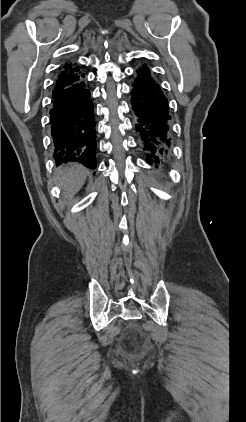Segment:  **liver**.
I'll return each mask as SVG.
<instances>
[{"label":"liver","instance_id":"1","mask_svg":"<svg viewBox=\"0 0 246 422\" xmlns=\"http://www.w3.org/2000/svg\"><path fill=\"white\" fill-rule=\"evenodd\" d=\"M88 170L80 164H72L55 170V178L63 189L65 198H71L84 185Z\"/></svg>","mask_w":246,"mask_h":422}]
</instances>
